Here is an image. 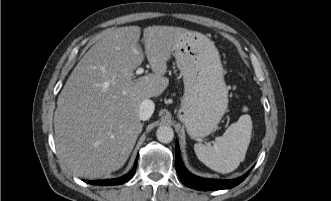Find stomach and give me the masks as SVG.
I'll return each mask as SVG.
<instances>
[{"label":"stomach","instance_id":"0dacf381","mask_svg":"<svg viewBox=\"0 0 331 201\" xmlns=\"http://www.w3.org/2000/svg\"><path fill=\"white\" fill-rule=\"evenodd\" d=\"M184 82L178 118L192 139L211 134L228 108V89L217 48L207 36L189 31L174 47Z\"/></svg>","mask_w":331,"mask_h":201}]
</instances>
